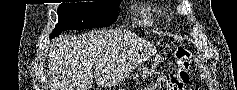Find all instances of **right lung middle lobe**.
I'll return each instance as SVG.
<instances>
[{
  "label": "right lung middle lobe",
  "instance_id": "obj_1",
  "mask_svg": "<svg viewBox=\"0 0 237 90\" xmlns=\"http://www.w3.org/2000/svg\"><path fill=\"white\" fill-rule=\"evenodd\" d=\"M119 3L120 0H101L60 4L57 10L59 21L50 34V39L65 30L108 27L118 16Z\"/></svg>",
  "mask_w": 237,
  "mask_h": 90
}]
</instances>
